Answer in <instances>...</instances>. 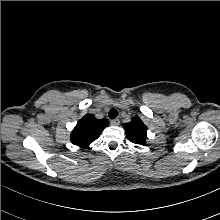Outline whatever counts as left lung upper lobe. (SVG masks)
<instances>
[{"mask_svg": "<svg viewBox=\"0 0 220 220\" xmlns=\"http://www.w3.org/2000/svg\"><path fill=\"white\" fill-rule=\"evenodd\" d=\"M127 138L135 144H145L147 127L138 117L132 118L131 122L123 125Z\"/></svg>", "mask_w": 220, "mask_h": 220, "instance_id": "left-lung-upper-lobe-1", "label": "left lung upper lobe"}]
</instances>
